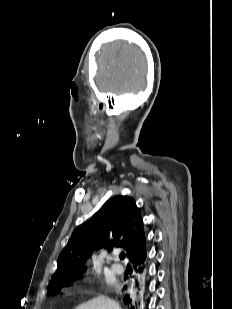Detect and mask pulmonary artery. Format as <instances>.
Listing matches in <instances>:
<instances>
[{
	"instance_id": "e3ab8cb5",
	"label": "pulmonary artery",
	"mask_w": 232,
	"mask_h": 309,
	"mask_svg": "<svg viewBox=\"0 0 232 309\" xmlns=\"http://www.w3.org/2000/svg\"><path fill=\"white\" fill-rule=\"evenodd\" d=\"M112 270L117 274H122L125 271V268L121 264H113Z\"/></svg>"
}]
</instances>
